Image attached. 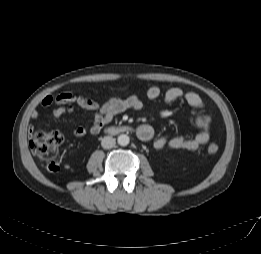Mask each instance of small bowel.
<instances>
[{
    "mask_svg": "<svg viewBox=\"0 0 261 254\" xmlns=\"http://www.w3.org/2000/svg\"><path fill=\"white\" fill-rule=\"evenodd\" d=\"M146 98L149 100L162 98L166 102L183 100L187 105L197 111L195 122L199 128V133L193 138H186L183 136L172 138L163 135L156 136L154 129L150 125L144 124L137 129V135L141 141L152 142L156 149L170 148L190 151L198 150L209 141L211 117L203 111V101L198 94L191 91H185L178 87H172L162 91L157 86H151L146 91ZM41 105L44 107L54 106V118H60L66 113H73L79 109L92 112L94 115L93 124L89 128L79 126L74 130V135L76 137H83L88 132L91 134L99 133L116 115L128 109L134 111L141 110L144 106V100L138 96H129L127 98L114 96L106 100L103 104H98L82 94L64 92L56 96H45L41 101ZM31 116L32 118H37L39 116V111L33 110ZM33 132L34 127L30 126L29 134L31 135Z\"/></svg>",
    "mask_w": 261,
    "mask_h": 254,
    "instance_id": "c3829d8e",
    "label": "small bowel"
}]
</instances>
